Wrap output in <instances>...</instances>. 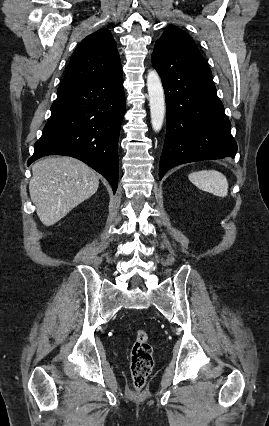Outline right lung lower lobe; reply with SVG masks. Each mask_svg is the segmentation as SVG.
I'll use <instances>...</instances> for the list:
<instances>
[{"label": "right lung lower lobe", "mask_w": 269, "mask_h": 426, "mask_svg": "<svg viewBox=\"0 0 269 426\" xmlns=\"http://www.w3.org/2000/svg\"><path fill=\"white\" fill-rule=\"evenodd\" d=\"M124 114L122 70L103 79L60 86L28 165L47 155L75 157L102 174L115 193Z\"/></svg>", "instance_id": "obj_1"}]
</instances>
